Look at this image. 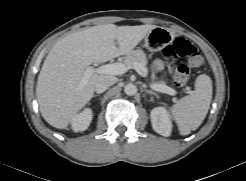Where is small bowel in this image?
<instances>
[{
  "mask_svg": "<svg viewBox=\"0 0 246 181\" xmlns=\"http://www.w3.org/2000/svg\"><path fill=\"white\" fill-rule=\"evenodd\" d=\"M154 67H155L156 69H160V68L162 67V62H161L160 60H156V61L154 62Z\"/></svg>",
  "mask_w": 246,
  "mask_h": 181,
  "instance_id": "obj_1",
  "label": "small bowel"
}]
</instances>
